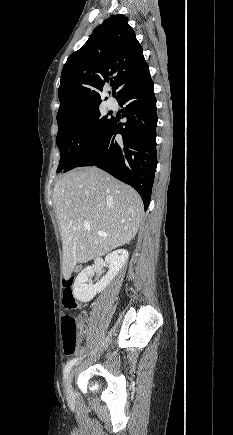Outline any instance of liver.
I'll return each mask as SVG.
<instances>
[{
  "label": "liver",
  "mask_w": 233,
  "mask_h": 435,
  "mask_svg": "<svg viewBox=\"0 0 233 435\" xmlns=\"http://www.w3.org/2000/svg\"><path fill=\"white\" fill-rule=\"evenodd\" d=\"M53 203L61 229L65 279L78 263L129 243L143 216L139 194L97 167L66 173L54 186ZM84 222L90 223L89 229ZM98 231L108 236H100Z\"/></svg>",
  "instance_id": "6515ba94"
}]
</instances>
